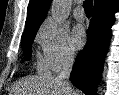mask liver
<instances>
[{
	"instance_id": "liver-1",
	"label": "liver",
	"mask_w": 119,
	"mask_h": 95,
	"mask_svg": "<svg viewBox=\"0 0 119 95\" xmlns=\"http://www.w3.org/2000/svg\"><path fill=\"white\" fill-rule=\"evenodd\" d=\"M23 95H82L71 85L66 84L57 76L41 74L29 78L19 85Z\"/></svg>"
}]
</instances>
